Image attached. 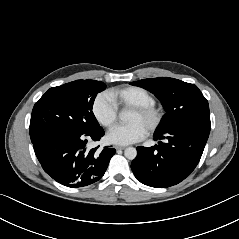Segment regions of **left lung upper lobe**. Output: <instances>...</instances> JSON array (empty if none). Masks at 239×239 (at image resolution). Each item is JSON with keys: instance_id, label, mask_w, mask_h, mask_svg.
Masks as SVG:
<instances>
[{"instance_id": "5c2ea615", "label": "left lung upper lobe", "mask_w": 239, "mask_h": 239, "mask_svg": "<svg viewBox=\"0 0 239 239\" xmlns=\"http://www.w3.org/2000/svg\"><path fill=\"white\" fill-rule=\"evenodd\" d=\"M130 84L153 93L166 110L156 131L190 124L210 127L208 101L196 85L167 77L143 79Z\"/></svg>"}]
</instances>
